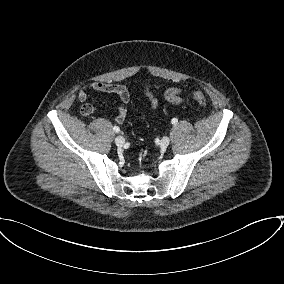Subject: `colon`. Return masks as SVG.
Here are the masks:
<instances>
[{
	"mask_svg": "<svg viewBox=\"0 0 284 284\" xmlns=\"http://www.w3.org/2000/svg\"><path fill=\"white\" fill-rule=\"evenodd\" d=\"M193 97L195 98V100L202 106L206 105V98L205 96L200 92V91H194L193 93Z\"/></svg>",
	"mask_w": 284,
	"mask_h": 284,
	"instance_id": "1",
	"label": "colon"
}]
</instances>
